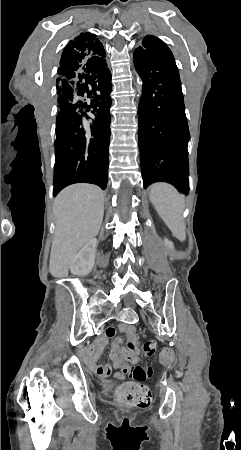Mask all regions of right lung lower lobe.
I'll use <instances>...</instances> for the list:
<instances>
[{"instance_id": "1", "label": "right lung lower lobe", "mask_w": 241, "mask_h": 450, "mask_svg": "<svg viewBox=\"0 0 241 450\" xmlns=\"http://www.w3.org/2000/svg\"><path fill=\"white\" fill-rule=\"evenodd\" d=\"M54 191L74 183L106 188L110 142L111 73L106 61L59 80ZM90 98L80 101L81 96ZM83 108L85 111L83 112ZM90 112L94 118L86 115ZM90 120L83 123L82 115Z\"/></svg>"}]
</instances>
